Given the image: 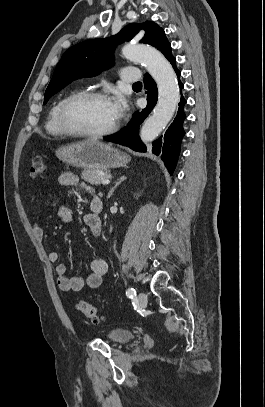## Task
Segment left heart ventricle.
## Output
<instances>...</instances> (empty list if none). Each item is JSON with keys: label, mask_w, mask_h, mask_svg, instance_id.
<instances>
[{"label": "left heart ventricle", "mask_w": 265, "mask_h": 407, "mask_svg": "<svg viewBox=\"0 0 265 407\" xmlns=\"http://www.w3.org/2000/svg\"><path fill=\"white\" fill-rule=\"evenodd\" d=\"M70 118L77 128L90 132L105 130L117 120L110 101L101 99L76 103L70 111Z\"/></svg>", "instance_id": "b2bd125f"}]
</instances>
